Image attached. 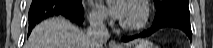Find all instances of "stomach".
Instances as JSON below:
<instances>
[{"label":"stomach","instance_id":"1","mask_svg":"<svg viewBox=\"0 0 213 48\" xmlns=\"http://www.w3.org/2000/svg\"><path fill=\"white\" fill-rule=\"evenodd\" d=\"M162 32H166V30H162ZM129 48V47H126ZM130 48H159L158 45H155L153 43H148V42H140L135 44V46L130 47Z\"/></svg>","mask_w":213,"mask_h":48}]
</instances>
